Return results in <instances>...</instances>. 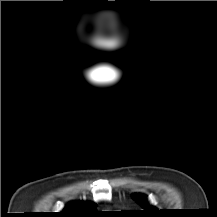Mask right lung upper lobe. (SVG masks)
Masks as SVG:
<instances>
[{
    "instance_id": "1",
    "label": "right lung upper lobe",
    "mask_w": 217,
    "mask_h": 217,
    "mask_svg": "<svg viewBox=\"0 0 217 217\" xmlns=\"http://www.w3.org/2000/svg\"><path fill=\"white\" fill-rule=\"evenodd\" d=\"M96 204L93 203H69L58 217H93L96 215Z\"/></svg>"
}]
</instances>
